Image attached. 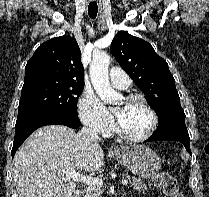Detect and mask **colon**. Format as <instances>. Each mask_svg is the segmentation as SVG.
Segmentation results:
<instances>
[{
    "mask_svg": "<svg viewBox=\"0 0 209 197\" xmlns=\"http://www.w3.org/2000/svg\"><path fill=\"white\" fill-rule=\"evenodd\" d=\"M153 189H161L163 194L167 197H186L184 193L179 190L177 180L167 173H159L155 175L151 181Z\"/></svg>",
    "mask_w": 209,
    "mask_h": 197,
    "instance_id": "colon-1",
    "label": "colon"
}]
</instances>
